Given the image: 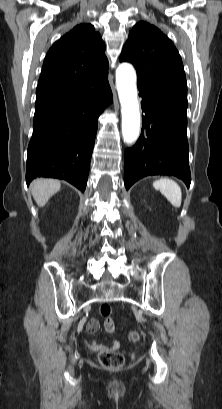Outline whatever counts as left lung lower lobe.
I'll return each instance as SVG.
<instances>
[{"label": "left lung lower lobe", "mask_w": 222, "mask_h": 409, "mask_svg": "<svg viewBox=\"0 0 222 409\" xmlns=\"http://www.w3.org/2000/svg\"><path fill=\"white\" fill-rule=\"evenodd\" d=\"M145 115L141 135L136 144L124 153V183L129 189L148 175H174L189 187L187 101L166 100L153 94H141Z\"/></svg>", "instance_id": "0a47b994"}]
</instances>
